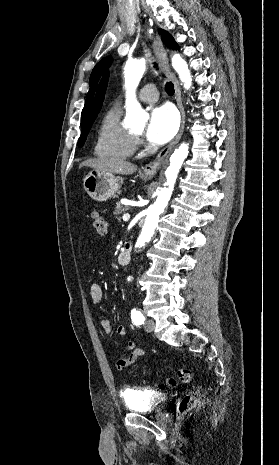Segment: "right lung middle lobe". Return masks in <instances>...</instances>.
<instances>
[{"label": "right lung middle lobe", "instance_id": "1", "mask_svg": "<svg viewBox=\"0 0 279 465\" xmlns=\"http://www.w3.org/2000/svg\"><path fill=\"white\" fill-rule=\"evenodd\" d=\"M89 130H90V128L87 131L81 133V136H80V138L78 140V146L79 147L83 146V144H84V142H85V140L87 138Z\"/></svg>", "mask_w": 279, "mask_h": 465}]
</instances>
